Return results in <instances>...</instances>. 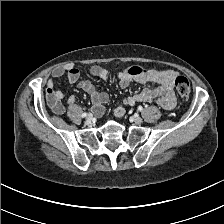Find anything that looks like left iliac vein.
<instances>
[{
    "instance_id": "obj_1",
    "label": "left iliac vein",
    "mask_w": 224,
    "mask_h": 224,
    "mask_svg": "<svg viewBox=\"0 0 224 224\" xmlns=\"http://www.w3.org/2000/svg\"><path fill=\"white\" fill-rule=\"evenodd\" d=\"M133 121L136 123V124H141L143 122L142 118L139 117V116H136L133 118Z\"/></svg>"
}]
</instances>
